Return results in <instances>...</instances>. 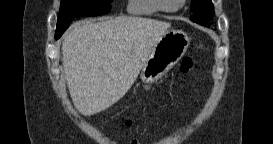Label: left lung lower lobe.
Masks as SVG:
<instances>
[{
    "mask_svg": "<svg viewBox=\"0 0 273 144\" xmlns=\"http://www.w3.org/2000/svg\"><path fill=\"white\" fill-rule=\"evenodd\" d=\"M212 15H213V13L210 12V13L201 15L198 18H196L195 20H192V21L196 22L198 24H201V25L209 26L210 24H209L208 20L211 19Z\"/></svg>",
    "mask_w": 273,
    "mask_h": 144,
    "instance_id": "obj_1",
    "label": "left lung lower lobe"
}]
</instances>
